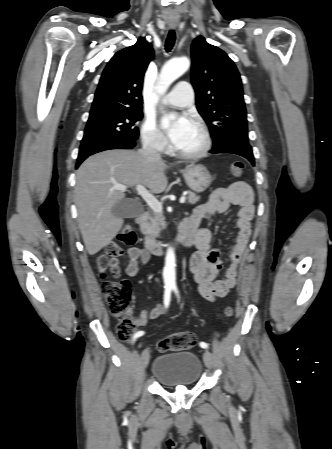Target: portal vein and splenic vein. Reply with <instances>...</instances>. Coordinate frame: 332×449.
Segmentation results:
<instances>
[{
	"label": "portal vein and splenic vein",
	"instance_id": "portal-vein-and-splenic-vein-1",
	"mask_svg": "<svg viewBox=\"0 0 332 449\" xmlns=\"http://www.w3.org/2000/svg\"><path fill=\"white\" fill-rule=\"evenodd\" d=\"M113 189L119 191H126L127 186L121 184H115ZM136 190L138 194L144 199L147 205L156 213H162V203L159 202L155 196H153L143 185L138 184L136 186ZM186 201V197L182 196L180 198V203L183 204Z\"/></svg>",
	"mask_w": 332,
	"mask_h": 449
}]
</instances>
